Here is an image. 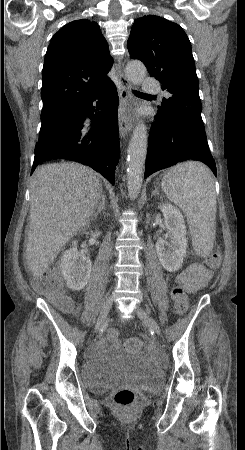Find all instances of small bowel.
I'll return each instance as SVG.
<instances>
[{
    "instance_id": "obj_1",
    "label": "small bowel",
    "mask_w": 245,
    "mask_h": 450,
    "mask_svg": "<svg viewBox=\"0 0 245 450\" xmlns=\"http://www.w3.org/2000/svg\"><path fill=\"white\" fill-rule=\"evenodd\" d=\"M212 276L213 273L211 270L200 264H194L177 276V282L183 285L187 291L192 292L204 287ZM105 344V340L100 341L101 346H104Z\"/></svg>"
}]
</instances>
